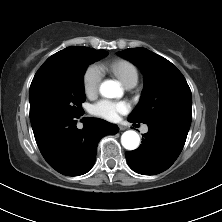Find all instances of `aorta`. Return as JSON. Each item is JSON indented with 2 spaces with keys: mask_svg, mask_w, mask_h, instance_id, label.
<instances>
[{
  "mask_svg": "<svg viewBox=\"0 0 222 222\" xmlns=\"http://www.w3.org/2000/svg\"><path fill=\"white\" fill-rule=\"evenodd\" d=\"M122 90L117 81L107 80L100 85V93L106 98H115L121 94ZM121 143L127 150H135L140 143V137L137 132L128 130L121 136Z\"/></svg>",
  "mask_w": 222,
  "mask_h": 222,
  "instance_id": "762f6f07",
  "label": "aorta"
}]
</instances>
